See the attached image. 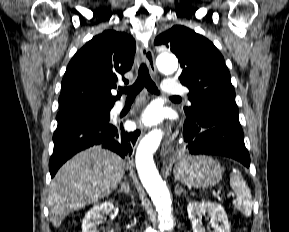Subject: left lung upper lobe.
<instances>
[{
  "instance_id": "obj_1",
  "label": "left lung upper lobe",
  "mask_w": 289,
  "mask_h": 232,
  "mask_svg": "<svg viewBox=\"0 0 289 232\" xmlns=\"http://www.w3.org/2000/svg\"><path fill=\"white\" fill-rule=\"evenodd\" d=\"M154 44L170 48L178 57L182 67L180 82L190 90L192 105L184 108L187 119L217 113L239 121L229 70L211 41L185 26L175 25L160 34Z\"/></svg>"
}]
</instances>
